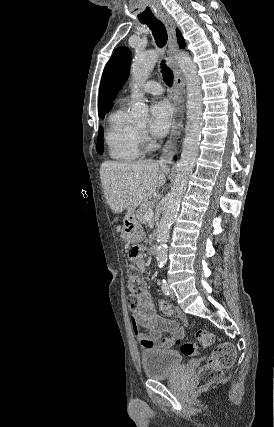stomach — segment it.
Here are the masks:
<instances>
[{
  "label": "stomach",
  "mask_w": 274,
  "mask_h": 427,
  "mask_svg": "<svg viewBox=\"0 0 274 427\" xmlns=\"http://www.w3.org/2000/svg\"><path fill=\"white\" fill-rule=\"evenodd\" d=\"M145 233L140 225L139 221L136 219L135 214H126L123 219V225L121 229V237L129 243H136V241H141Z\"/></svg>",
  "instance_id": "stomach-1"
}]
</instances>
